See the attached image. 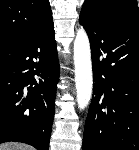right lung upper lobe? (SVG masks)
I'll return each mask as SVG.
<instances>
[{
  "label": "right lung upper lobe",
  "mask_w": 139,
  "mask_h": 150,
  "mask_svg": "<svg viewBox=\"0 0 139 150\" xmlns=\"http://www.w3.org/2000/svg\"><path fill=\"white\" fill-rule=\"evenodd\" d=\"M51 19L49 0H0V46L34 35Z\"/></svg>",
  "instance_id": "obj_1"
}]
</instances>
